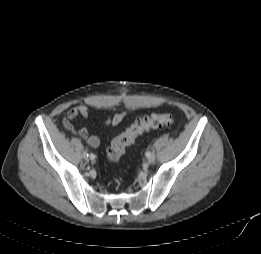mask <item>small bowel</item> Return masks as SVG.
I'll list each match as a JSON object with an SVG mask.
<instances>
[{
	"label": "small bowel",
	"instance_id": "small-bowel-1",
	"mask_svg": "<svg viewBox=\"0 0 261 254\" xmlns=\"http://www.w3.org/2000/svg\"><path fill=\"white\" fill-rule=\"evenodd\" d=\"M90 115V109L87 105L81 104L72 107L63 118L64 128L78 135L80 138L87 141L92 148H97L100 145V140L97 136L91 135L86 127L76 129L73 122L79 117L87 118ZM128 115V112L115 113L107 117L104 121L107 125L116 126L120 124Z\"/></svg>",
	"mask_w": 261,
	"mask_h": 254
}]
</instances>
